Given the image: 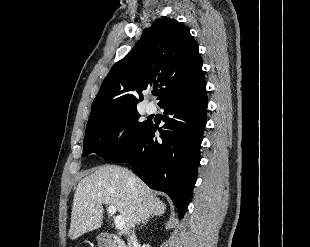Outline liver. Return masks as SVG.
Instances as JSON below:
<instances>
[{
    "label": "liver",
    "mask_w": 310,
    "mask_h": 247,
    "mask_svg": "<svg viewBox=\"0 0 310 247\" xmlns=\"http://www.w3.org/2000/svg\"><path fill=\"white\" fill-rule=\"evenodd\" d=\"M103 205H114L122 216L125 227L121 234L145 219L165 213L166 205L153 191L128 169L105 165L85 176L74 194L69 236L75 240L100 228Z\"/></svg>",
    "instance_id": "6515ba94"
}]
</instances>
